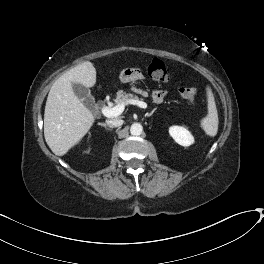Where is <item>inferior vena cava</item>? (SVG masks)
Instances as JSON below:
<instances>
[{"label":"inferior vena cava","instance_id":"1","mask_svg":"<svg viewBox=\"0 0 264 264\" xmlns=\"http://www.w3.org/2000/svg\"><path fill=\"white\" fill-rule=\"evenodd\" d=\"M106 123L109 127H118V126H121L123 124V120L112 119V120H107Z\"/></svg>","mask_w":264,"mask_h":264}]
</instances>
